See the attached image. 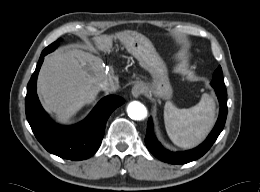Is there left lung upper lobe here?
<instances>
[{"label":"left lung upper lobe","mask_w":260,"mask_h":192,"mask_svg":"<svg viewBox=\"0 0 260 192\" xmlns=\"http://www.w3.org/2000/svg\"><path fill=\"white\" fill-rule=\"evenodd\" d=\"M212 82H221V83L224 82L223 81V75H222V69H221L220 66L214 72Z\"/></svg>","instance_id":"1"}]
</instances>
